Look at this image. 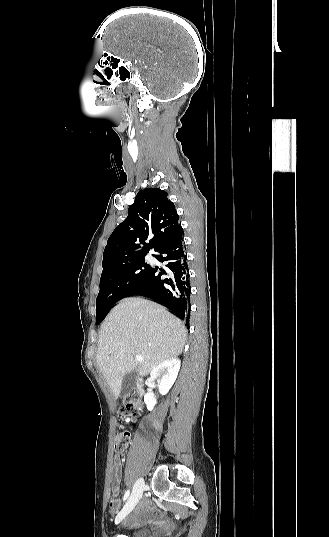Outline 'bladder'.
Masks as SVG:
<instances>
[{"label": "bladder", "mask_w": 329, "mask_h": 537, "mask_svg": "<svg viewBox=\"0 0 329 537\" xmlns=\"http://www.w3.org/2000/svg\"><path fill=\"white\" fill-rule=\"evenodd\" d=\"M149 533L150 532L148 530H138L134 532L132 537H147Z\"/></svg>", "instance_id": "bladder-1"}]
</instances>
